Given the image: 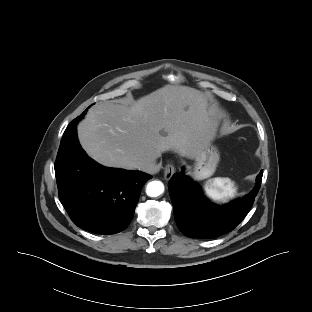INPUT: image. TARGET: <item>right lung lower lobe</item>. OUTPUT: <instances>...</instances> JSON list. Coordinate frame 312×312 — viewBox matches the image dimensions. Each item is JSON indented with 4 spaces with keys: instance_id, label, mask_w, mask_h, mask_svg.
Returning a JSON list of instances; mask_svg holds the SVG:
<instances>
[{
    "instance_id": "obj_1",
    "label": "right lung lower lobe",
    "mask_w": 312,
    "mask_h": 312,
    "mask_svg": "<svg viewBox=\"0 0 312 312\" xmlns=\"http://www.w3.org/2000/svg\"><path fill=\"white\" fill-rule=\"evenodd\" d=\"M76 128L63 137L55 162L59 199L81 229L118 233L131 222L142 187L152 176L96 163L79 144Z\"/></svg>"
}]
</instances>
